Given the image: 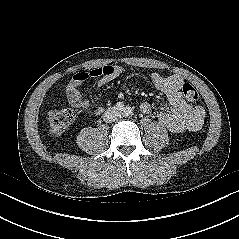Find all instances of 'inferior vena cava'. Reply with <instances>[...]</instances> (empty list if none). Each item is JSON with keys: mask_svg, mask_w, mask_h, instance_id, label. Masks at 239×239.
Segmentation results:
<instances>
[{"mask_svg": "<svg viewBox=\"0 0 239 239\" xmlns=\"http://www.w3.org/2000/svg\"><path fill=\"white\" fill-rule=\"evenodd\" d=\"M120 117V112L116 110L115 108H109L104 116L103 119L106 123H111L116 121Z\"/></svg>", "mask_w": 239, "mask_h": 239, "instance_id": "1", "label": "inferior vena cava"}]
</instances>
